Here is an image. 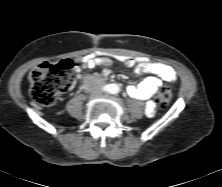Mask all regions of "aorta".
Listing matches in <instances>:
<instances>
[{"instance_id":"aorta-1","label":"aorta","mask_w":222,"mask_h":187,"mask_svg":"<svg viewBox=\"0 0 222 187\" xmlns=\"http://www.w3.org/2000/svg\"><path fill=\"white\" fill-rule=\"evenodd\" d=\"M119 87L117 85H112L111 93H118Z\"/></svg>"}]
</instances>
